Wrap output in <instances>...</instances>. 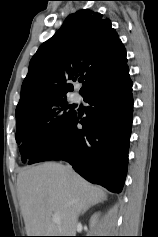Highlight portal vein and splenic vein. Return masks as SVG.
I'll return each instance as SVG.
<instances>
[{
    "mask_svg": "<svg viewBox=\"0 0 158 237\" xmlns=\"http://www.w3.org/2000/svg\"><path fill=\"white\" fill-rule=\"evenodd\" d=\"M52 220H53L54 222H59V221H60L59 214H58V213H55V214L53 215V217H52Z\"/></svg>",
    "mask_w": 158,
    "mask_h": 237,
    "instance_id": "1",
    "label": "portal vein and splenic vein"
}]
</instances>
